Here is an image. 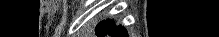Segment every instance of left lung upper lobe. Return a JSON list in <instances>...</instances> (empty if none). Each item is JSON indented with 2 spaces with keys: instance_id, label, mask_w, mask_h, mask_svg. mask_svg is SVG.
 Here are the masks:
<instances>
[{
  "instance_id": "left-lung-upper-lobe-1",
  "label": "left lung upper lobe",
  "mask_w": 219,
  "mask_h": 37,
  "mask_svg": "<svg viewBox=\"0 0 219 37\" xmlns=\"http://www.w3.org/2000/svg\"><path fill=\"white\" fill-rule=\"evenodd\" d=\"M113 22L110 20L102 21L99 23V25L96 28V33L98 36H102L105 32L110 30V28L113 26Z\"/></svg>"
}]
</instances>
